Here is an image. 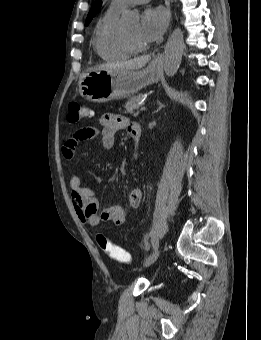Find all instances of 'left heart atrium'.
<instances>
[{
	"label": "left heart atrium",
	"instance_id": "1",
	"mask_svg": "<svg viewBox=\"0 0 261 340\" xmlns=\"http://www.w3.org/2000/svg\"><path fill=\"white\" fill-rule=\"evenodd\" d=\"M169 22L168 11L161 7L147 8L141 18L140 35L146 44L155 43L165 32Z\"/></svg>",
	"mask_w": 261,
	"mask_h": 340
}]
</instances>
